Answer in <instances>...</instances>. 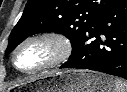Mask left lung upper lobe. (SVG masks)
<instances>
[{
    "mask_svg": "<svg viewBox=\"0 0 127 92\" xmlns=\"http://www.w3.org/2000/svg\"><path fill=\"white\" fill-rule=\"evenodd\" d=\"M122 0H28L22 17L9 36L5 56L27 37L57 32L71 40L72 47L92 25Z\"/></svg>",
    "mask_w": 127,
    "mask_h": 92,
    "instance_id": "5c2ea615",
    "label": "left lung upper lobe"
}]
</instances>
